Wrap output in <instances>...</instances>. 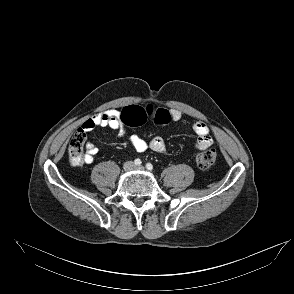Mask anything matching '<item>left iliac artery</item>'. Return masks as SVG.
Here are the masks:
<instances>
[{
    "label": "left iliac artery",
    "instance_id": "44dca946",
    "mask_svg": "<svg viewBox=\"0 0 294 294\" xmlns=\"http://www.w3.org/2000/svg\"><path fill=\"white\" fill-rule=\"evenodd\" d=\"M146 168H147L148 170H152V169H153V165H152L151 163H147V164H146Z\"/></svg>",
    "mask_w": 294,
    "mask_h": 294
}]
</instances>
